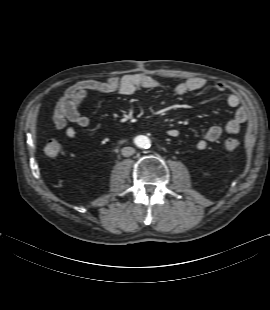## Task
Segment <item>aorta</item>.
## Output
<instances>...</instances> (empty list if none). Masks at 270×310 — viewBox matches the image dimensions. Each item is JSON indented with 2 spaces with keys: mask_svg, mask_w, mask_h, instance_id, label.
I'll return each mask as SVG.
<instances>
[{
  "mask_svg": "<svg viewBox=\"0 0 270 310\" xmlns=\"http://www.w3.org/2000/svg\"><path fill=\"white\" fill-rule=\"evenodd\" d=\"M135 143L140 148H148L150 146V140L148 137L140 135L135 138Z\"/></svg>",
  "mask_w": 270,
  "mask_h": 310,
  "instance_id": "obj_1",
  "label": "aorta"
}]
</instances>
